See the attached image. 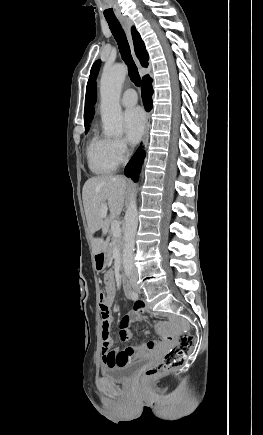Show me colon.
Wrapping results in <instances>:
<instances>
[{
    "label": "colon",
    "instance_id": "colon-1",
    "mask_svg": "<svg viewBox=\"0 0 263 435\" xmlns=\"http://www.w3.org/2000/svg\"><path fill=\"white\" fill-rule=\"evenodd\" d=\"M100 302L104 299V293L99 295ZM112 328H103L102 330V341L100 343L101 350H114V336ZM194 344V337L189 333V330H184L180 335L179 342L176 347L170 349L166 352L163 359L153 366L149 367L142 374V381L144 383H149L155 379L161 377L167 372L181 366L187 359L189 351L192 349Z\"/></svg>",
    "mask_w": 263,
    "mask_h": 435
}]
</instances>
